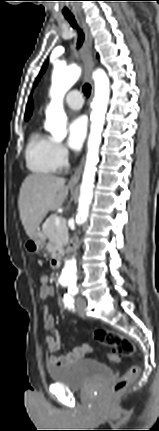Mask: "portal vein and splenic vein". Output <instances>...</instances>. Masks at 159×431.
<instances>
[{"label":"portal vein and splenic vein","instance_id":"obj_1","mask_svg":"<svg viewBox=\"0 0 159 431\" xmlns=\"http://www.w3.org/2000/svg\"><path fill=\"white\" fill-rule=\"evenodd\" d=\"M61 222H62V218H61V217H59V216H57V217L55 218V225H56V226H59Z\"/></svg>","mask_w":159,"mask_h":431}]
</instances>
